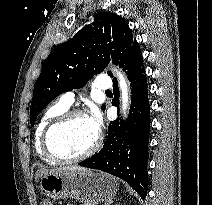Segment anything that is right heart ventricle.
<instances>
[{"label": "right heart ventricle", "instance_id": "right-heart-ventricle-1", "mask_svg": "<svg viewBox=\"0 0 212 205\" xmlns=\"http://www.w3.org/2000/svg\"><path fill=\"white\" fill-rule=\"evenodd\" d=\"M69 107L63 105L60 101L49 106L42 114L34 133V147L37 154L45 162L55 164L56 161L47 156L42 147V136L48 124L57 116L67 111Z\"/></svg>", "mask_w": 212, "mask_h": 205}]
</instances>
